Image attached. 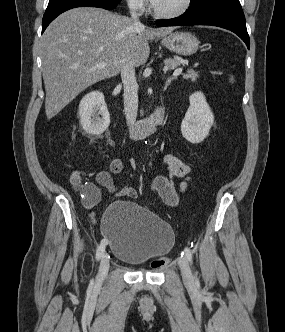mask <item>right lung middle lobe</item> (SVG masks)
Masks as SVG:
<instances>
[{
    "label": "right lung middle lobe",
    "instance_id": "1",
    "mask_svg": "<svg viewBox=\"0 0 285 332\" xmlns=\"http://www.w3.org/2000/svg\"><path fill=\"white\" fill-rule=\"evenodd\" d=\"M106 1H109V2H120L121 0H106Z\"/></svg>",
    "mask_w": 285,
    "mask_h": 332
}]
</instances>
